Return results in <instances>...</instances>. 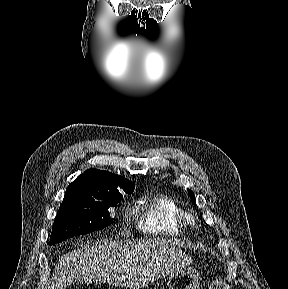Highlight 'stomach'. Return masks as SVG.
Returning <instances> with one entry per match:
<instances>
[{"label": "stomach", "mask_w": 288, "mask_h": 289, "mask_svg": "<svg viewBox=\"0 0 288 289\" xmlns=\"http://www.w3.org/2000/svg\"><path fill=\"white\" fill-rule=\"evenodd\" d=\"M200 275L195 268L185 267L172 272L168 277L169 289H197Z\"/></svg>", "instance_id": "obj_1"}]
</instances>
